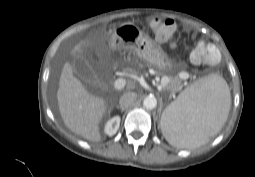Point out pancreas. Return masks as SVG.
Segmentation results:
<instances>
[{"label":"pancreas","instance_id":"cf45deb5","mask_svg":"<svg viewBox=\"0 0 255 177\" xmlns=\"http://www.w3.org/2000/svg\"><path fill=\"white\" fill-rule=\"evenodd\" d=\"M162 82H165L164 88H167L171 93H175L177 91V87L180 84L179 78H172L166 75H163L161 79V83Z\"/></svg>","mask_w":255,"mask_h":177}]
</instances>
